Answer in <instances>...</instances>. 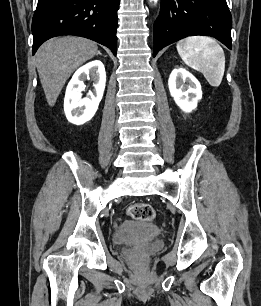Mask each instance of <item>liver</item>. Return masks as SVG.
Returning <instances> with one entry per match:
<instances>
[{"mask_svg":"<svg viewBox=\"0 0 261 306\" xmlns=\"http://www.w3.org/2000/svg\"><path fill=\"white\" fill-rule=\"evenodd\" d=\"M98 53L97 44L82 37L52 38L41 45L37 71L49 106H54L70 75Z\"/></svg>","mask_w":261,"mask_h":306,"instance_id":"obj_1","label":"liver"}]
</instances>
